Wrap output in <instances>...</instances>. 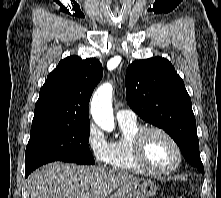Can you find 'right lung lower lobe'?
I'll return each instance as SVG.
<instances>
[{
    "mask_svg": "<svg viewBox=\"0 0 221 198\" xmlns=\"http://www.w3.org/2000/svg\"><path fill=\"white\" fill-rule=\"evenodd\" d=\"M31 172H25V177H27Z\"/></svg>",
    "mask_w": 221,
    "mask_h": 198,
    "instance_id": "98d812e1",
    "label": "right lung lower lobe"
}]
</instances>
